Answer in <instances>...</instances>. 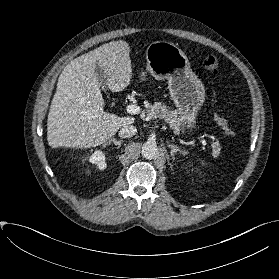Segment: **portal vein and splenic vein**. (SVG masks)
<instances>
[{
  "instance_id": "obj_1",
  "label": "portal vein and splenic vein",
  "mask_w": 279,
  "mask_h": 279,
  "mask_svg": "<svg viewBox=\"0 0 279 279\" xmlns=\"http://www.w3.org/2000/svg\"><path fill=\"white\" fill-rule=\"evenodd\" d=\"M126 111L129 114H139L141 113V108L137 105L131 104L126 107ZM202 144L207 146V142L205 140H202Z\"/></svg>"
}]
</instances>
